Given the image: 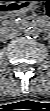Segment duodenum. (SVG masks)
Instances as JSON below:
<instances>
[{
  "label": "duodenum",
  "mask_w": 50,
  "mask_h": 111,
  "mask_svg": "<svg viewBox=\"0 0 50 111\" xmlns=\"http://www.w3.org/2000/svg\"><path fill=\"white\" fill-rule=\"evenodd\" d=\"M29 26H38V27L44 29L45 31L48 30V23L43 20L30 19V20L24 21V27H29Z\"/></svg>",
  "instance_id": "obj_1"
}]
</instances>
